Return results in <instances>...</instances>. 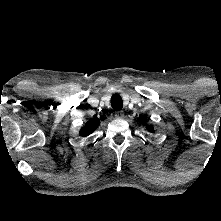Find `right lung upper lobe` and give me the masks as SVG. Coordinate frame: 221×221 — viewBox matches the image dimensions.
<instances>
[{"label":"right lung upper lobe","mask_w":221,"mask_h":221,"mask_svg":"<svg viewBox=\"0 0 221 221\" xmlns=\"http://www.w3.org/2000/svg\"><path fill=\"white\" fill-rule=\"evenodd\" d=\"M100 120L97 118L89 120L84 127L80 130V135L83 137H87L91 133H93L99 126Z\"/></svg>","instance_id":"cb5924a9"}]
</instances>
